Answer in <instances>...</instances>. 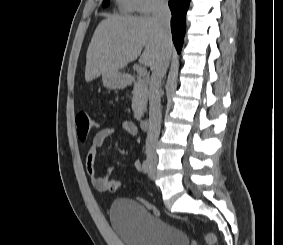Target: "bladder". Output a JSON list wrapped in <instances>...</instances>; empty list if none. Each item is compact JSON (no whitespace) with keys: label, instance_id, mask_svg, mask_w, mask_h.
<instances>
[{"label":"bladder","instance_id":"bladder-1","mask_svg":"<svg viewBox=\"0 0 283 245\" xmlns=\"http://www.w3.org/2000/svg\"><path fill=\"white\" fill-rule=\"evenodd\" d=\"M110 223L125 245H189L188 236L151 214L142 203L121 198L109 210Z\"/></svg>","mask_w":283,"mask_h":245}]
</instances>
